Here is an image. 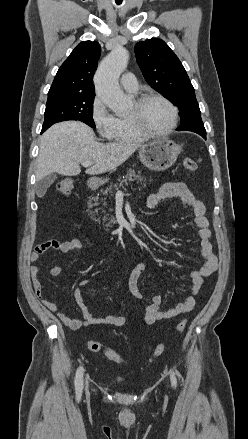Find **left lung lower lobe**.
<instances>
[{
    "instance_id": "0a47b994",
    "label": "left lung lower lobe",
    "mask_w": 248,
    "mask_h": 439,
    "mask_svg": "<svg viewBox=\"0 0 248 439\" xmlns=\"http://www.w3.org/2000/svg\"><path fill=\"white\" fill-rule=\"evenodd\" d=\"M202 137L206 139V135H202Z\"/></svg>"
}]
</instances>
